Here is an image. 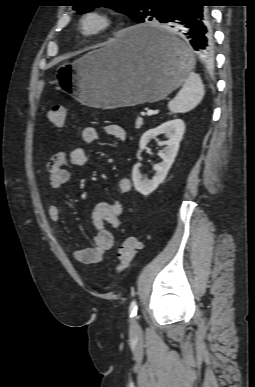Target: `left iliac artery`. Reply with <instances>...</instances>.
<instances>
[{
    "label": "left iliac artery",
    "mask_w": 255,
    "mask_h": 387,
    "mask_svg": "<svg viewBox=\"0 0 255 387\" xmlns=\"http://www.w3.org/2000/svg\"><path fill=\"white\" fill-rule=\"evenodd\" d=\"M137 314V303L134 300L131 301L130 306H129V316L130 318H134Z\"/></svg>",
    "instance_id": "1"
}]
</instances>
